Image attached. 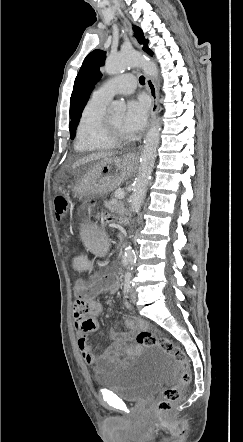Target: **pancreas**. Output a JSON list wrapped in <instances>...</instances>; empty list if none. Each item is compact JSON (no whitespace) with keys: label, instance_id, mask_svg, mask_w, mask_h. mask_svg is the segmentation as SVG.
<instances>
[{"label":"pancreas","instance_id":"pancreas-1","mask_svg":"<svg viewBox=\"0 0 243 442\" xmlns=\"http://www.w3.org/2000/svg\"><path fill=\"white\" fill-rule=\"evenodd\" d=\"M105 207L112 213H120L123 211V203L117 200H114L110 203H105Z\"/></svg>","mask_w":243,"mask_h":442}]
</instances>
